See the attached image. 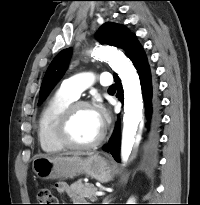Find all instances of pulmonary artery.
<instances>
[{
  "mask_svg": "<svg viewBox=\"0 0 200 205\" xmlns=\"http://www.w3.org/2000/svg\"><path fill=\"white\" fill-rule=\"evenodd\" d=\"M96 81L102 86H109L112 84L111 75L107 72H103L99 75L92 72H83L65 79L60 86V90L72 98L77 99L85 89Z\"/></svg>",
  "mask_w": 200,
  "mask_h": 205,
  "instance_id": "obj_1",
  "label": "pulmonary artery"
}]
</instances>
